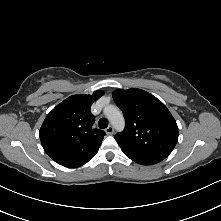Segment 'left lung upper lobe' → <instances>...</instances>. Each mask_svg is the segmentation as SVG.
Listing matches in <instances>:
<instances>
[{"label":"left lung upper lobe","mask_w":221,"mask_h":221,"mask_svg":"<svg viewBox=\"0 0 221 221\" xmlns=\"http://www.w3.org/2000/svg\"><path fill=\"white\" fill-rule=\"evenodd\" d=\"M112 95L125 117L124 131L115 135L121 149L168 157L178 140V126L166 106L137 88L118 89Z\"/></svg>","instance_id":"5c2ea615"}]
</instances>
